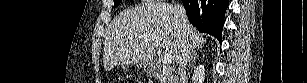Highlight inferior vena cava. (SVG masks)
I'll return each mask as SVG.
<instances>
[{
    "label": "inferior vena cava",
    "instance_id": "602c4592",
    "mask_svg": "<svg viewBox=\"0 0 307 83\" xmlns=\"http://www.w3.org/2000/svg\"><path fill=\"white\" fill-rule=\"evenodd\" d=\"M175 10L178 16L181 19L180 29H181V40L180 45L178 48V54H177V62L179 63V74H180V80H184L186 76V64L188 61L189 53L191 46L189 44V40L186 34L187 26H188V20L186 16V11L182 4H176Z\"/></svg>",
    "mask_w": 307,
    "mask_h": 83
}]
</instances>
